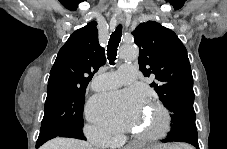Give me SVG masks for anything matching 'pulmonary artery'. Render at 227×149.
<instances>
[{
  "label": "pulmonary artery",
  "instance_id": "pulmonary-artery-1",
  "mask_svg": "<svg viewBox=\"0 0 227 149\" xmlns=\"http://www.w3.org/2000/svg\"><path fill=\"white\" fill-rule=\"evenodd\" d=\"M136 74V65H122L116 72L97 75L93 80L92 87L98 91L114 89L122 84L134 83Z\"/></svg>",
  "mask_w": 227,
  "mask_h": 149
}]
</instances>
